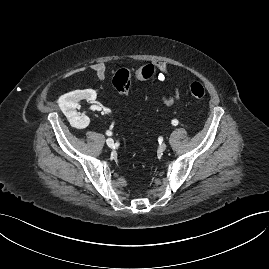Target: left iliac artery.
I'll return each mask as SVG.
<instances>
[{
    "instance_id": "left-iliac-artery-1",
    "label": "left iliac artery",
    "mask_w": 269,
    "mask_h": 269,
    "mask_svg": "<svg viewBox=\"0 0 269 269\" xmlns=\"http://www.w3.org/2000/svg\"><path fill=\"white\" fill-rule=\"evenodd\" d=\"M171 123H172V125L176 126V125H178L179 122L177 119H173Z\"/></svg>"
}]
</instances>
